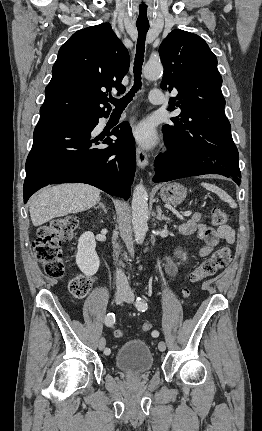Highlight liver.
<instances>
[{"instance_id": "6515ba94", "label": "liver", "mask_w": 262, "mask_h": 431, "mask_svg": "<svg viewBox=\"0 0 262 431\" xmlns=\"http://www.w3.org/2000/svg\"><path fill=\"white\" fill-rule=\"evenodd\" d=\"M100 200V190L87 184H62L42 190L30 199L34 226L53 218L83 212Z\"/></svg>"}]
</instances>
